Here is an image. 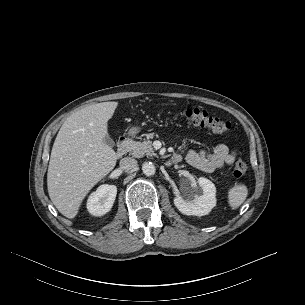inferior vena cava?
Segmentation results:
<instances>
[{
  "instance_id": "1",
  "label": "inferior vena cava",
  "mask_w": 305,
  "mask_h": 305,
  "mask_svg": "<svg viewBox=\"0 0 305 305\" xmlns=\"http://www.w3.org/2000/svg\"><path fill=\"white\" fill-rule=\"evenodd\" d=\"M137 166V160L131 157L123 158L120 161V168L123 170H132Z\"/></svg>"
}]
</instances>
